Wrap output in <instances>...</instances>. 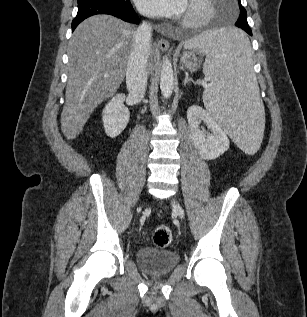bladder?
Listing matches in <instances>:
<instances>
[{"instance_id": "1", "label": "bladder", "mask_w": 307, "mask_h": 317, "mask_svg": "<svg viewBox=\"0 0 307 317\" xmlns=\"http://www.w3.org/2000/svg\"><path fill=\"white\" fill-rule=\"evenodd\" d=\"M138 266L147 274L161 276L168 274L179 262V256L172 250L141 247L136 252Z\"/></svg>"}]
</instances>
